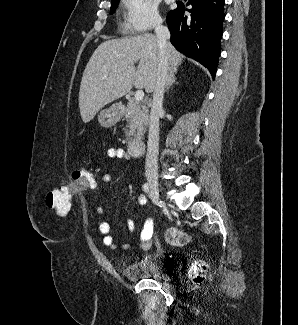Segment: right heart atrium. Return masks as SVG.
Returning <instances> with one entry per match:
<instances>
[{
	"instance_id": "d8ad5b80",
	"label": "right heart atrium",
	"mask_w": 298,
	"mask_h": 325,
	"mask_svg": "<svg viewBox=\"0 0 298 325\" xmlns=\"http://www.w3.org/2000/svg\"><path fill=\"white\" fill-rule=\"evenodd\" d=\"M155 0H127L125 2L126 31L131 37H138V30H153L159 25Z\"/></svg>"
}]
</instances>
